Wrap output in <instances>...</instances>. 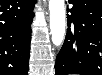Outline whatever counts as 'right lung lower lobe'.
<instances>
[{
	"label": "right lung lower lobe",
	"mask_w": 102,
	"mask_h": 75,
	"mask_svg": "<svg viewBox=\"0 0 102 75\" xmlns=\"http://www.w3.org/2000/svg\"><path fill=\"white\" fill-rule=\"evenodd\" d=\"M35 2L0 1V75H28Z\"/></svg>",
	"instance_id": "1"
}]
</instances>
